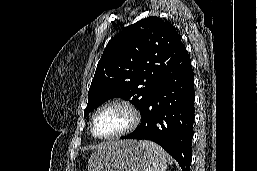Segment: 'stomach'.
<instances>
[{
	"instance_id": "obj_1",
	"label": "stomach",
	"mask_w": 257,
	"mask_h": 171,
	"mask_svg": "<svg viewBox=\"0 0 257 171\" xmlns=\"http://www.w3.org/2000/svg\"><path fill=\"white\" fill-rule=\"evenodd\" d=\"M145 150L135 140H124L95 151L88 162V171H143Z\"/></svg>"
}]
</instances>
